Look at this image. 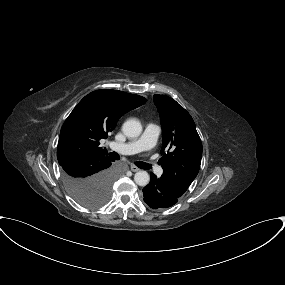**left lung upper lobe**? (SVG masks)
<instances>
[{
	"label": "left lung upper lobe",
	"mask_w": 285,
	"mask_h": 285,
	"mask_svg": "<svg viewBox=\"0 0 285 285\" xmlns=\"http://www.w3.org/2000/svg\"><path fill=\"white\" fill-rule=\"evenodd\" d=\"M154 103L160 113L163 175L184 191L197 176L202 143L190 114L174 99L155 94Z\"/></svg>",
	"instance_id": "left-lung-upper-lobe-1"
}]
</instances>
